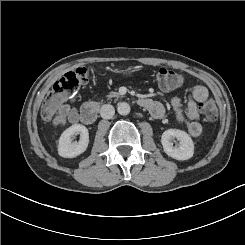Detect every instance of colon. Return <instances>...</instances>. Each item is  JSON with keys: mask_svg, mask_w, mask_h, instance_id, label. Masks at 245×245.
Listing matches in <instances>:
<instances>
[{"mask_svg": "<svg viewBox=\"0 0 245 245\" xmlns=\"http://www.w3.org/2000/svg\"><path fill=\"white\" fill-rule=\"evenodd\" d=\"M158 85L163 90H172L180 86L182 77L175 71L160 68L153 72ZM89 71L80 67L65 73L50 88L41 108V116L45 121L55 118L59 107L74 97V95L88 82ZM200 112L208 121H215L218 116L216 103L212 98L206 99L199 104Z\"/></svg>", "mask_w": 245, "mask_h": 245, "instance_id": "colon-1", "label": "colon"}]
</instances>
